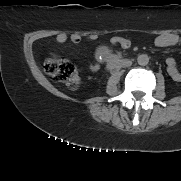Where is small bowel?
<instances>
[{"label": "small bowel", "instance_id": "small-bowel-1", "mask_svg": "<svg viewBox=\"0 0 181 181\" xmlns=\"http://www.w3.org/2000/svg\"><path fill=\"white\" fill-rule=\"evenodd\" d=\"M56 41L59 44H66L68 42L78 44L81 42L82 38L78 34H72L68 36L65 33H60L56 36ZM95 36H90L89 40H94ZM112 43L114 45L120 46L122 48H128L130 46L129 40L122 38V37H114L112 39ZM154 43L158 47H169L174 46L181 43V37L175 33H164L157 36L154 40ZM98 64L91 65L93 70L98 69ZM166 69L169 76L176 82H181V72L179 71L176 62L174 59L169 58L166 61Z\"/></svg>", "mask_w": 181, "mask_h": 181}]
</instances>
